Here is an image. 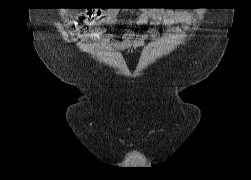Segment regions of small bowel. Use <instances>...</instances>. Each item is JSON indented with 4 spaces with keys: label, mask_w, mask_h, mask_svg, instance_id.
I'll use <instances>...</instances> for the list:
<instances>
[{
    "label": "small bowel",
    "mask_w": 251,
    "mask_h": 180,
    "mask_svg": "<svg viewBox=\"0 0 251 180\" xmlns=\"http://www.w3.org/2000/svg\"><path fill=\"white\" fill-rule=\"evenodd\" d=\"M83 19L90 20L94 27L90 30L89 35L92 38H97L101 35V30L96 25H110L119 21V15L115 10H100L93 9L82 14ZM192 20L191 13L187 11L176 10H143L136 12L131 23L137 25H188ZM153 38H158L159 35L155 32L151 33ZM142 38L132 31L125 32L120 41L119 47L122 49H128L137 46L141 42Z\"/></svg>",
    "instance_id": "obj_1"
}]
</instances>
